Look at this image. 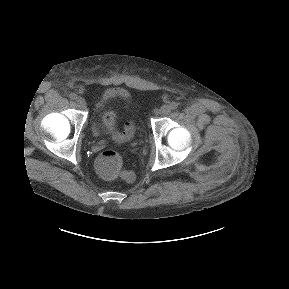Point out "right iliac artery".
Returning a JSON list of instances; mask_svg holds the SVG:
<instances>
[{
	"mask_svg": "<svg viewBox=\"0 0 289 289\" xmlns=\"http://www.w3.org/2000/svg\"><path fill=\"white\" fill-rule=\"evenodd\" d=\"M69 98L75 100L77 98V95L75 93H70Z\"/></svg>",
	"mask_w": 289,
	"mask_h": 289,
	"instance_id": "right-iliac-artery-1",
	"label": "right iliac artery"
}]
</instances>
